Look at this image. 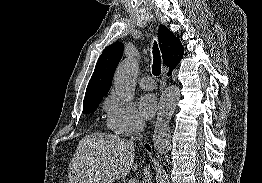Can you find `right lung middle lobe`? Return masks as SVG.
I'll list each match as a JSON object with an SVG mask.
<instances>
[{"mask_svg": "<svg viewBox=\"0 0 262 183\" xmlns=\"http://www.w3.org/2000/svg\"><path fill=\"white\" fill-rule=\"evenodd\" d=\"M101 100L102 98L90 101H83V113H93L97 109L98 104L101 102Z\"/></svg>", "mask_w": 262, "mask_h": 183, "instance_id": "obj_1", "label": "right lung middle lobe"}]
</instances>
